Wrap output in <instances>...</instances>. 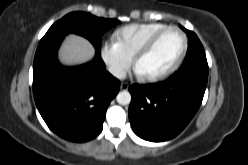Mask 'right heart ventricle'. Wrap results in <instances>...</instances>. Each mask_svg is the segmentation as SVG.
Returning <instances> with one entry per match:
<instances>
[{
  "label": "right heart ventricle",
  "instance_id": "1",
  "mask_svg": "<svg viewBox=\"0 0 248 165\" xmlns=\"http://www.w3.org/2000/svg\"><path fill=\"white\" fill-rule=\"evenodd\" d=\"M167 27L164 23H135L117 30L115 41L130 56L134 57L141 46L156 32Z\"/></svg>",
  "mask_w": 248,
  "mask_h": 165
}]
</instances>
